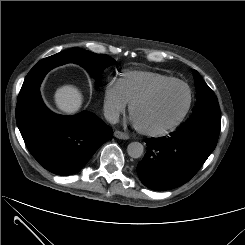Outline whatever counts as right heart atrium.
I'll return each mask as SVG.
<instances>
[{
    "label": "right heart atrium",
    "mask_w": 245,
    "mask_h": 245,
    "mask_svg": "<svg viewBox=\"0 0 245 245\" xmlns=\"http://www.w3.org/2000/svg\"><path fill=\"white\" fill-rule=\"evenodd\" d=\"M102 104L104 115L111 122L118 121L126 112L128 103L120 90L118 81H110L106 84Z\"/></svg>",
    "instance_id": "d8ad5b80"
}]
</instances>
